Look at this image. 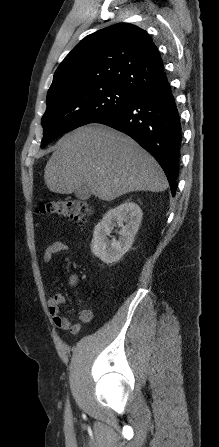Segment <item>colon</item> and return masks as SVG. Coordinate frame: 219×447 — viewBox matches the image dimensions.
<instances>
[{"instance_id":"obj_1","label":"colon","mask_w":219,"mask_h":447,"mask_svg":"<svg viewBox=\"0 0 219 447\" xmlns=\"http://www.w3.org/2000/svg\"><path fill=\"white\" fill-rule=\"evenodd\" d=\"M41 215L48 217H62L81 225L90 214L88 204L80 199L56 198L41 202L37 208Z\"/></svg>"}]
</instances>
